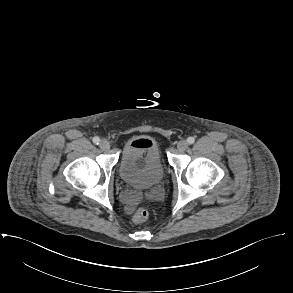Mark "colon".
Masks as SVG:
<instances>
[{
  "label": "colon",
  "mask_w": 293,
  "mask_h": 293,
  "mask_svg": "<svg viewBox=\"0 0 293 293\" xmlns=\"http://www.w3.org/2000/svg\"><path fill=\"white\" fill-rule=\"evenodd\" d=\"M148 218V211L144 207H139L136 209L134 216H133V221L135 223H142L146 221Z\"/></svg>",
  "instance_id": "1"
}]
</instances>
